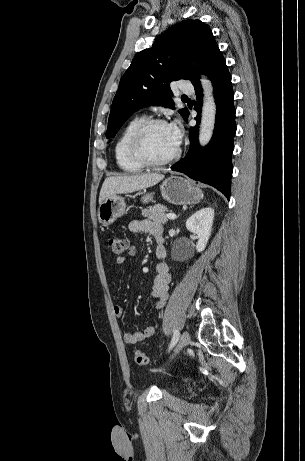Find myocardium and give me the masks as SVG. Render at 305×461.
Instances as JSON below:
<instances>
[{"instance_id": "myocardium-1", "label": "myocardium", "mask_w": 305, "mask_h": 461, "mask_svg": "<svg viewBox=\"0 0 305 461\" xmlns=\"http://www.w3.org/2000/svg\"><path fill=\"white\" fill-rule=\"evenodd\" d=\"M157 125L168 124L165 120L159 118L144 120L142 123L138 125V127L135 129V131L130 137L128 143L129 156L134 162L141 165L142 167L157 168L165 166L177 160L181 155L180 147H177V150L171 156L159 161L151 160L145 155L143 150V142L145 135L147 134L149 129Z\"/></svg>"}]
</instances>
